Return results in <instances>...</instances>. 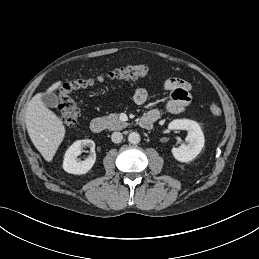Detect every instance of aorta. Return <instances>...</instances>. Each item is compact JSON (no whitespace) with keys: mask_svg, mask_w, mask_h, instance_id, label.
Masks as SVG:
<instances>
[{"mask_svg":"<svg viewBox=\"0 0 259 259\" xmlns=\"http://www.w3.org/2000/svg\"><path fill=\"white\" fill-rule=\"evenodd\" d=\"M128 141L131 144H138L140 142V135L137 132H131L128 135Z\"/></svg>","mask_w":259,"mask_h":259,"instance_id":"762f6f07","label":"aorta"}]
</instances>
